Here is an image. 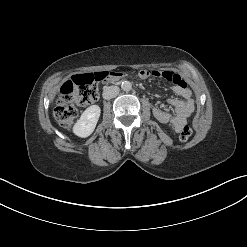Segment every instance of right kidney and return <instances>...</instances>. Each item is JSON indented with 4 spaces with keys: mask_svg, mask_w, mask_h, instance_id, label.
I'll use <instances>...</instances> for the list:
<instances>
[{
    "mask_svg": "<svg viewBox=\"0 0 247 247\" xmlns=\"http://www.w3.org/2000/svg\"><path fill=\"white\" fill-rule=\"evenodd\" d=\"M101 109L98 105L88 107L73 126L75 135L85 138L91 135L99 120Z\"/></svg>",
    "mask_w": 247,
    "mask_h": 247,
    "instance_id": "obj_1",
    "label": "right kidney"
}]
</instances>
